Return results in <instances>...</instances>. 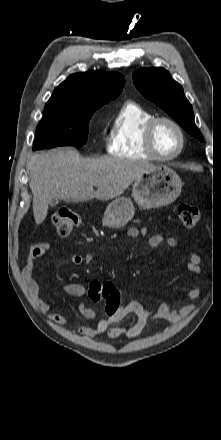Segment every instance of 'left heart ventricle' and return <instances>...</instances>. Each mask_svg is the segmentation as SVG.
Here are the masks:
<instances>
[{
  "instance_id": "1",
  "label": "left heart ventricle",
  "mask_w": 221,
  "mask_h": 440,
  "mask_svg": "<svg viewBox=\"0 0 221 440\" xmlns=\"http://www.w3.org/2000/svg\"><path fill=\"white\" fill-rule=\"evenodd\" d=\"M180 144L179 134L176 129L169 123H160L154 134V145L161 155H171Z\"/></svg>"
}]
</instances>
